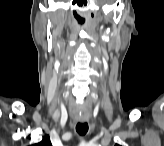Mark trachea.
<instances>
[{
    "instance_id": "3493384b",
    "label": "trachea",
    "mask_w": 164,
    "mask_h": 146,
    "mask_svg": "<svg viewBox=\"0 0 164 146\" xmlns=\"http://www.w3.org/2000/svg\"><path fill=\"white\" fill-rule=\"evenodd\" d=\"M76 131L79 135L84 136L88 132V124L87 123H78L76 125Z\"/></svg>"
}]
</instances>
